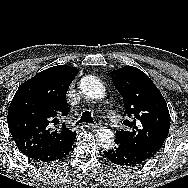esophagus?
I'll return each instance as SVG.
<instances>
[{
  "label": "esophagus",
  "instance_id": "esophagus-1",
  "mask_svg": "<svg viewBox=\"0 0 188 188\" xmlns=\"http://www.w3.org/2000/svg\"><path fill=\"white\" fill-rule=\"evenodd\" d=\"M99 125H100L99 122H94V123H88L87 127L98 128Z\"/></svg>",
  "mask_w": 188,
  "mask_h": 188
}]
</instances>
